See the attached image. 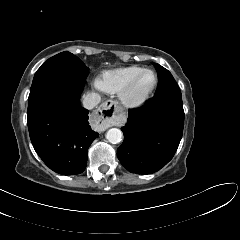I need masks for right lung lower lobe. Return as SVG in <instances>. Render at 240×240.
Segmentation results:
<instances>
[{"instance_id":"1","label":"right lung lower lobe","mask_w":240,"mask_h":240,"mask_svg":"<svg viewBox=\"0 0 240 240\" xmlns=\"http://www.w3.org/2000/svg\"><path fill=\"white\" fill-rule=\"evenodd\" d=\"M84 85L58 83L28 99L27 122L33 147L42 161L62 175L82 173L87 151L98 137L80 105Z\"/></svg>"}]
</instances>
